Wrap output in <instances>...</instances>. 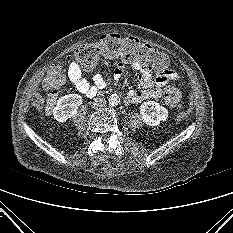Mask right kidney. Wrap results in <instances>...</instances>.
Here are the masks:
<instances>
[{"label":"right kidney","mask_w":233,"mask_h":233,"mask_svg":"<svg viewBox=\"0 0 233 233\" xmlns=\"http://www.w3.org/2000/svg\"><path fill=\"white\" fill-rule=\"evenodd\" d=\"M81 103L82 97L79 94H69L61 97L53 109L54 118L59 122H66L77 112Z\"/></svg>","instance_id":"obj_1"}]
</instances>
